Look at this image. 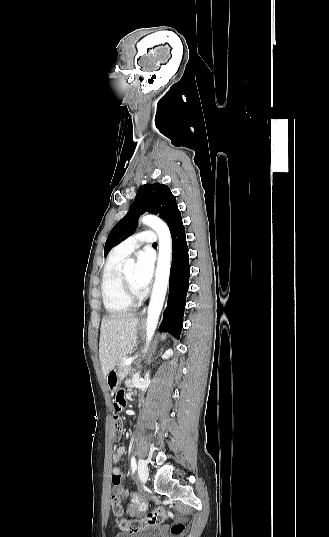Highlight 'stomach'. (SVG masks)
<instances>
[{"instance_id":"obj_1","label":"stomach","mask_w":329,"mask_h":537,"mask_svg":"<svg viewBox=\"0 0 329 537\" xmlns=\"http://www.w3.org/2000/svg\"><path fill=\"white\" fill-rule=\"evenodd\" d=\"M106 380L110 390L114 391L115 389H117L120 383V377L118 376L115 368L108 373Z\"/></svg>"}]
</instances>
